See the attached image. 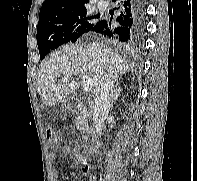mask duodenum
Masks as SVG:
<instances>
[{"mask_svg":"<svg viewBox=\"0 0 197 181\" xmlns=\"http://www.w3.org/2000/svg\"><path fill=\"white\" fill-rule=\"evenodd\" d=\"M68 110L72 113H81L84 114L85 113V106L84 104L79 101V100H70L67 104ZM88 150L90 152H92V148L89 147Z\"/></svg>","mask_w":197,"mask_h":181,"instance_id":"obj_1","label":"duodenum"}]
</instances>
